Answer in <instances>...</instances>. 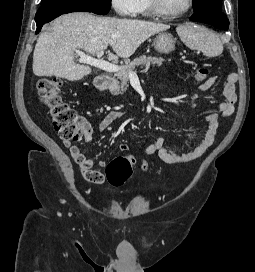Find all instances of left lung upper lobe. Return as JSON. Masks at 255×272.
Masks as SVG:
<instances>
[{
    "label": "left lung upper lobe",
    "mask_w": 255,
    "mask_h": 272,
    "mask_svg": "<svg viewBox=\"0 0 255 272\" xmlns=\"http://www.w3.org/2000/svg\"><path fill=\"white\" fill-rule=\"evenodd\" d=\"M192 1L195 5L194 11H198L209 6L222 8V0H192Z\"/></svg>",
    "instance_id": "obj_1"
}]
</instances>
